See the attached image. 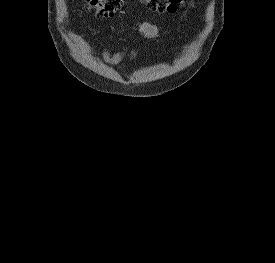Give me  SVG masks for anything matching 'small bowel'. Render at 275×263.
<instances>
[{
	"label": "small bowel",
	"mask_w": 275,
	"mask_h": 263,
	"mask_svg": "<svg viewBox=\"0 0 275 263\" xmlns=\"http://www.w3.org/2000/svg\"><path fill=\"white\" fill-rule=\"evenodd\" d=\"M138 30L148 38H156L158 35L157 27L150 22H139L137 23ZM125 54V50H120L115 53H111L108 48H104L102 51L101 57L93 56V58L101 63L109 64V65H117L119 64ZM136 55L135 51H132L130 54V59H133Z\"/></svg>",
	"instance_id": "1"
}]
</instances>
